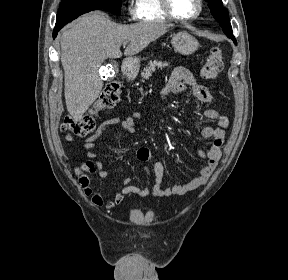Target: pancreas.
Instances as JSON below:
<instances>
[{"label":"pancreas","instance_id":"cf45deb5","mask_svg":"<svg viewBox=\"0 0 288 280\" xmlns=\"http://www.w3.org/2000/svg\"><path fill=\"white\" fill-rule=\"evenodd\" d=\"M168 66L167 62H161V61H150L148 63V66H146L141 72L142 82H144V79H149V77L152 75V73L156 70V67L162 69V67Z\"/></svg>","mask_w":288,"mask_h":280}]
</instances>
